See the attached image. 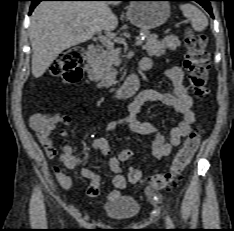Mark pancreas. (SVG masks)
I'll use <instances>...</instances> for the list:
<instances>
[{"label": "pancreas", "instance_id": "1", "mask_svg": "<svg viewBox=\"0 0 234 231\" xmlns=\"http://www.w3.org/2000/svg\"><path fill=\"white\" fill-rule=\"evenodd\" d=\"M142 34L146 37V43L142 45V48L146 50L149 56L160 57L166 53L167 49L175 50L180 46L179 38L175 35H169L159 41L155 34L148 31H143ZM119 64L118 50L113 49V47L102 50L89 62V78L98 82V88H109L116 83L117 71L115 67L119 66Z\"/></svg>", "mask_w": 234, "mask_h": 231}]
</instances>
